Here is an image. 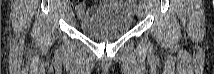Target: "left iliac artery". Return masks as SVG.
I'll use <instances>...</instances> for the list:
<instances>
[{
  "mask_svg": "<svg viewBox=\"0 0 214 74\" xmlns=\"http://www.w3.org/2000/svg\"><path fill=\"white\" fill-rule=\"evenodd\" d=\"M139 8H144L143 4L140 3L139 4Z\"/></svg>",
  "mask_w": 214,
  "mask_h": 74,
  "instance_id": "left-iliac-artery-1",
  "label": "left iliac artery"
}]
</instances>
